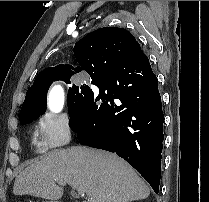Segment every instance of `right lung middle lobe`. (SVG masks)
<instances>
[{"instance_id": "obj_1", "label": "right lung middle lobe", "mask_w": 209, "mask_h": 202, "mask_svg": "<svg viewBox=\"0 0 209 202\" xmlns=\"http://www.w3.org/2000/svg\"><path fill=\"white\" fill-rule=\"evenodd\" d=\"M71 76L72 75H64V76H56L51 78L40 93L43 104L33 106L31 108H27L20 112L19 120L21 122V125L30 123L33 120L37 119L40 115H43L45 113L47 91L53 81L63 80L67 84H70ZM95 82L96 81L92 80L93 84H95ZM93 94H94L93 91L90 89L88 85L83 84L81 86H76L75 84H73V86L69 88L67 100H68V111L70 118L77 117L82 112L87 99Z\"/></svg>"}]
</instances>
